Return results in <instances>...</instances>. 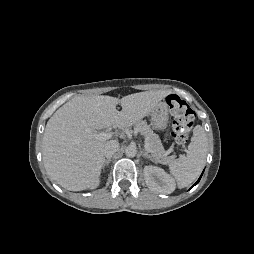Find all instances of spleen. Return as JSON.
<instances>
[{"label": "spleen", "instance_id": "obj_1", "mask_svg": "<svg viewBox=\"0 0 254 254\" xmlns=\"http://www.w3.org/2000/svg\"><path fill=\"white\" fill-rule=\"evenodd\" d=\"M207 146V136L203 127L195 126L186 156L169 164L170 172L179 188L187 187L198 177L206 161Z\"/></svg>", "mask_w": 254, "mask_h": 254}]
</instances>
